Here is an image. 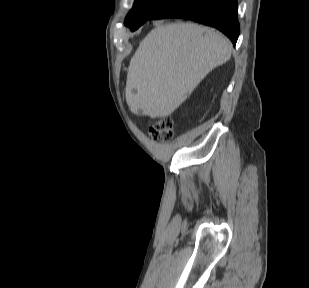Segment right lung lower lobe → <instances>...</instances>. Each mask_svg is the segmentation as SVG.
<instances>
[{
    "label": "right lung lower lobe",
    "mask_w": 309,
    "mask_h": 288,
    "mask_svg": "<svg viewBox=\"0 0 309 288\" xmlns=\"http://www.w3.org/2000/svg\"><path fill=\"white\" fill-rule=\"evenodd\" d=\"M161 18H184L215 27L229 37L233 45L240 32L237 0H174L149 20Z\"/></svg>",
    "instance_id": "obj_1"
}]
</instances>
